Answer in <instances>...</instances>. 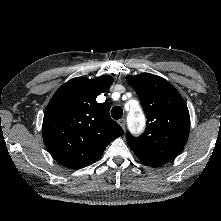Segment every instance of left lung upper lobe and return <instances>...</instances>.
<instances>
[{
	"mask_svg": "<svg viewBox=\"0 0 221 221\" xmlns=\"http://www.w3.org/2000/svg\"><path fill=\"white\" fill-rule=\"evenodd\" d=\"M141 100L147 118L139 137L129 132L126 140L144 163L159 166L174 159L183 150L189 135L190 116L179 92L165 79L143 73L127 76Z\"/></svg>",
	"mask_w": 221,
	"mask_h": 221,
	"instance_id": "1",
	"label": "left lung upper lobe"
}]
</instances>
